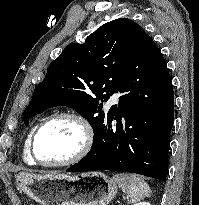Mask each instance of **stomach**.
<instances>
[{
    "instance_id": "stomach-1",
    "label": "stomach",
    "mask_w": 199,
    "mask_h": 205,
    "mask_svg": "<svg viewBox=\"0 0 199 205\" xmlns=\"http://www.w3.org/2000/svg\"><path fill=\"white\" fill-rule=\"evenodd\" d=\"M16 182L41 205H108L117 193V183L102 172L75 176L19 173Z\"/></svg>"
}]
</instances>
